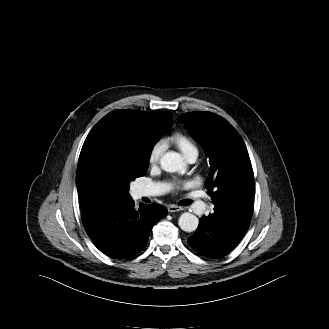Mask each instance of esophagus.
<instances>
[{
  "label": "esophagus",
  "mask_w": 329,
  "mask_h": 329,
  "mask_svg": "<svg viewBox=\"0 0 329 329\" xmlns=\"http://www.w3.org/2000/svg\"><path fill=\"white\" fill-rule=\"evenodd\" d=\"M181 210H183V208L180 207V206H177V205H169L168 206V211L169 212H177V211H181Z\"/></svg>",
  "instance_id": "esophagus-1"
}]
</instances>
